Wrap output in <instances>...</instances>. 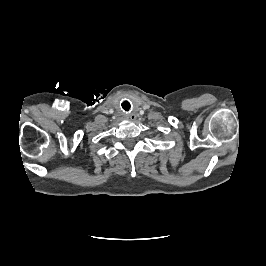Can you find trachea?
<instances>
[{"label": "trachea", "instance_id": "obj_1", "mask_svg": "<svg viewBox=\"0 0 266 266\" xmlns=\"http://www.w3.org/2000/svg\"><path fill=\"white\" fill-rule=\"evenodd\" d=\"M122 107H123L126 111H128V110L130 109V103H129L128 101H124V102L122 103Z\"/></svg>", "mask_w": 266, "mask_h": 266}]
</instances>
